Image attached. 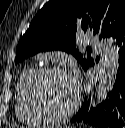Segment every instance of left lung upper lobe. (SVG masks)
I'll use <instances>...</instances> for the list:
<instances>
[{
	"mask_svg": "<svg viewBox=\"0 0 125 128\" xmlns=\"http://www.w3.org/2000/svg\"><path fill=\"white\" fill-rule=\"evenodd\" d=\"M125 24V0H50L33 18L16 48L15 63L42 51L62 50L77 59L84 70L94 65L75 47L81 31L114 36Z\"/></svg>",
	"mask_w": 125,
	"mask_h": 128,
	"instance_id": "obj_1",
	"label": "left lung upper lobe"
}]
</instances>
